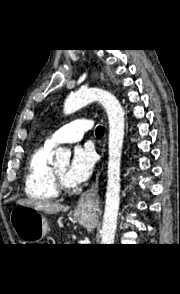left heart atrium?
<instances>
[{
	"mask_svg": "<svg viewBox=\"0 0 180 294\" xmlns=\"http://www.w3.org/2000/svg\"><path fill=\"white\" fill-rule=\"evenodd\" d=\"M95 165V155L90 147H77L66 172V179L71 185L86 181L92 174Z\"/></svg>",
	"mask_w": 180,
	"mask_h": 294,
	"instance_id": "39dd6f15",
	"label": "left heart atrium"
}]
</instances>
